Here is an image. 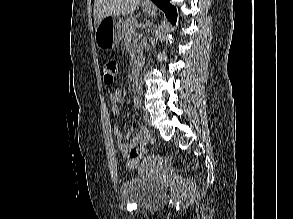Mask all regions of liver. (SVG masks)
Segmentation results:
<instances>
[{"mask_svg": "<svg viewBox=\"0 0 293 219\" xmlns=\"http://www.w3.org/2000/svg\"><path fill=\"white\" fill-rule=\"evenodd\" d=\"M141 0H95L94 25L98 27L107 16L132 15Z\"/></svg>", "mask_w": 293, "mask_h": 219, "instance_id": "1", "label": "liver"}]
</instances>
